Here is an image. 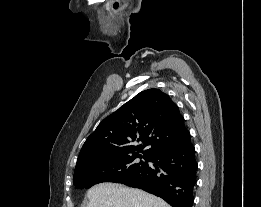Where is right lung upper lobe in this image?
<instances>
[{
  "label": "right lung upper lobe",
  "instance_id": "right-lung-upper-lobe-1",
  "mask_svg": "<svg viewBox=\"0 0 261 207\" xmlns=\"http://www.w3.org/2000/svg\"><path fill=\"white\" fill-rule=\"evenodd\" d=\"M190 138L177 105L159 89L140 92L106 117L85 141L76 168L99 160L152 155L182 145ZM142 142L135 146L134 142ZM149 146L148 149H143ZM75 168V169H76Z\"/></svg>",
  "mask_w": 261,
  "mask_h": 207
}]
</instances>
